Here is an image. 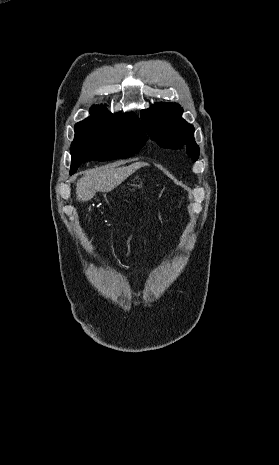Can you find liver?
<instances>
[{
    "instance_id": "obj_1",
    "label": "liver",
    "mask_w": 279,
    "mask_h": 465,
    "mask_svg": "<svg viewBox=\"0 0 279 465\" xmlns=\"http://www.w3.org/2000/svg\"><path fill=\"white\" fill-rule=\"evenodd\" d=\"M147 165L144 162H136L123 167L107 165L90 169L77 181L76 198L78 201L86 202L91 200L97 192H110L136 170Z\"/></svg>"
}]
</instances>
